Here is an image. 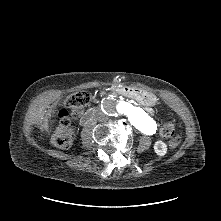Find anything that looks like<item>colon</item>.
<instances>
[{
	"label": "colon",
	"instance_id": "colon-1",
	"mask_svg": "<svg viewBox=\"0 0 221 221\" xmlns=\"http://www.w3.org/2000/svg\"><path fill=\"white\" fill-rule=\"evenodd\" d=\"M89 101L90 95L85 91H79L67 97L65 105L69 111H59V124L52 136V141L57 147L67 149L73 145L75 132L71 119L79 116ZM159 133L161 137L170 139L169 145L171 147H177L181 143V136L176 132L175 126L171 122L164 124Z\"/></svg>",
	"mask_w": 221,
	"mask_h": 221
}]
</instances>
